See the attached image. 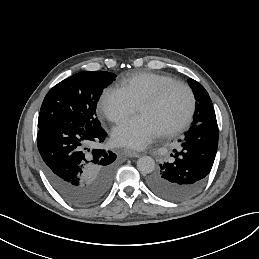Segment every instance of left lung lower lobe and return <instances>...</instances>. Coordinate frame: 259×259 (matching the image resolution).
Masks as SVG:
<instances>
[{
    "instance_id": "1",
    "label": "left lung lower lobe",
    "mask_w": 259,
    "mask_h": 259,
    "mask_svg": "<svg viewBox=\"0 0 259 259\" xmlns=\"http://www.w3.org/2000/svg\"><path fill=\"white\" fill-rule=\"evenodd\" d=\"M178 142L174 160L161 164L147 181L153 193L171 201L190 198L203 186L218 148L217 121L193 125Z\"/></svg>"
}]
</instances>
